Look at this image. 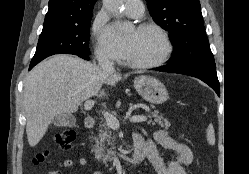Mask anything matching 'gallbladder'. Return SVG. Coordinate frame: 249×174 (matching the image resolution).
Instances as JSON below:
<instances>
[{
	"mask_svg": "<svg viewBox=\"0 0 249 174\" xmlns=\"http://www.w3.org/2000/svg\"><path fill=\"white\" fill-rule=\"evenodd\" d=\"M53 124L55 126H75L76 118L71 114H60L54 117Z\"/></svg>",
	"mask_w": 249,
	"mask_h": 174,
	"instance_id": "gallbladder-1",
	"label": "gallbladder"
}]
</instances>
